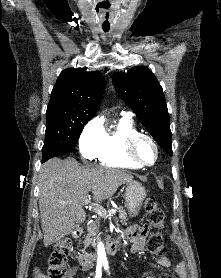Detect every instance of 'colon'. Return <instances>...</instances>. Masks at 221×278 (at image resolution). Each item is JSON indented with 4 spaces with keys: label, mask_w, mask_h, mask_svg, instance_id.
Returning <instances> with one entry per match:
<instances>
[{
    "label": "colon",
    "mask_w": 221,
    "mask_h": 278,
    "mask_svg": "<svg viewBox=\"0 0 221 278\" xmlns=\"http://www.w3.org/2000/svg\"><path fill=\"white\" fill-rule=\"evenodd\" d=\"M145 218L148 226L156 230L147 241V250L154 255H162L165 246L162 235L159 232L164 227V212L158 205L154 197H149L145 201ZM72 248V241L69 238L59 240L49 257L48 270L37 269L34 278H66L68 273L67 260Z\"/></svg>",
    "instance_id": "5ec220e1"
}]
</instances>
